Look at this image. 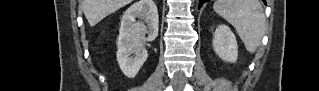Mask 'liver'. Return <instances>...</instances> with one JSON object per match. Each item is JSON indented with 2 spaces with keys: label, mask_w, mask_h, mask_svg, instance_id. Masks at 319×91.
<instances>
[{
  "label": "liver",
  "mask_w": 319,
  "mask_h": 91,
  "mask_svg": "<svg viewBox=\"0 0 319 91\" xmlns=\"http://www.w3.org/2000/svg\"><path fill=\"white\" fill-rule=\"evenodd\" d=\"M131 2L132 0H82L81 4L90 26H95L105 17Z\"/></svg>",
  "instance_id": "1"
}]
</instances>
